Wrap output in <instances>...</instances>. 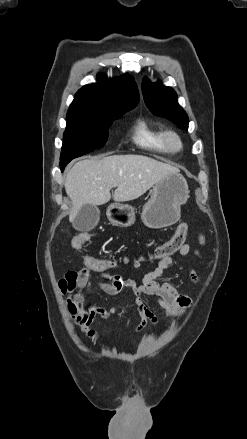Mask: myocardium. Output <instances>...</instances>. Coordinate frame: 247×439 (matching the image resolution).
<instances>
[{"instance_id":"myocardium-1","label":"myocardium","mask_w":247,"mask_h":439,"mask_svg":"<svg viewBox=\"0 0 247 439\" xmlns=\"http://www.w3.org/2000/svg\"><path fill=\"white\" fill-rule=\"evenodd\" d=\"M163 140L168 151L176 153L179 152L183 143L180 136L173 130H166L163 133Z\"/></svg>"}]
</instances>
